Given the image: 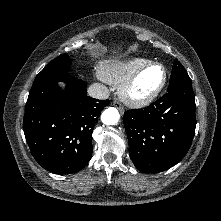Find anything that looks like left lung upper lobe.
Segmentation results:
<instances>
[{
  "label": "left lung upper lobe",
  "instance_id": "1",
  "mask_svg": "<svg viewBox=\"0 0 221 221\" xmlns=\"http://www.w3.org/2000/svg\"><path fill=\"white\" fill-rule=\"evenodd\" d=\"M182 82H192V81L188 76L187 72L185 71L184 67L182 66V64L178 60H175L173 64L168 90L172 89L173 87H175L176 85Z\"/></svg>",
  "mask_w": 221,
  "mask_h": 221
}]
</instances>
